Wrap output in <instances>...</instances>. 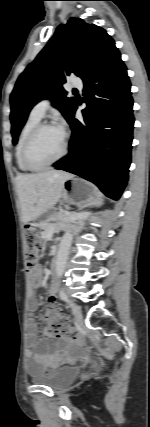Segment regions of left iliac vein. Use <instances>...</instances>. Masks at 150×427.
<instances>
[{"label": "left iliac vein", "mask_w": 150, "mask_h": 427, "mask_svg": "<svg viewBox=\"0 0 150 427\" xmlns=\"http://www.w3.org/2000/svg\"><path fill=\"white\" fill-rule=\"evenodd\" d=\"M73 311H74L76 323L79 326H82L83 325V315H82L81 309L79 308V306L74 304L73 305Z\"/></svg>", "instance_id": "left-iliac-vein-1"}]
</instances>
